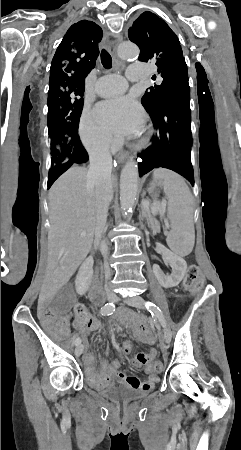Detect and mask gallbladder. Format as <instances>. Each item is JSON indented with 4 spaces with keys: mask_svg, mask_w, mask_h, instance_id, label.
<instances>
[{
    "mask_svg": "<svg viewBox=\"0 0 241 450\" xmlns=\"http://www.w3.org/2000/svg\"><path fill=\"white\" fill-rule=\"evenodd\" d=\"M56 297L58 301H54L53 308L56 317L63 319L73 309V304L76 302L75 283L73 281H66L64 286H61L59 291H57Z\"/></svg>",
    "mask_w": 241,
    "mask_h": 450,
    "instance_id": "bac80fb5",
    "label": "gallbladder"
}]
</instances>
